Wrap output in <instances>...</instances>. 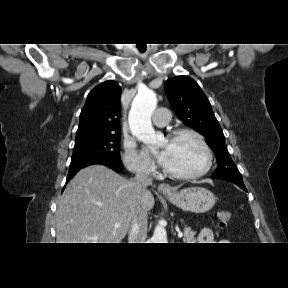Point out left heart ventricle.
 Returning a JSON list of instances; mask_svg holds the SVG:
<instances>
[{"label": "left heart ventricle", "instance_id": "obj_1", "mask_svg": "<svg viewBox=\"0 0 288 288\" xmlns=\"http://www.w3.org/2000/svg\"><path fill=\"white\" fill-rule=\"evenodd\" d=\"M165 152L163 165L179 173H193L206 164V155L200 144L191 136H182L174 140H165L160 145Z\"/></svg>", "mask_w": 288, "mask_h": 288}]
</instances>
